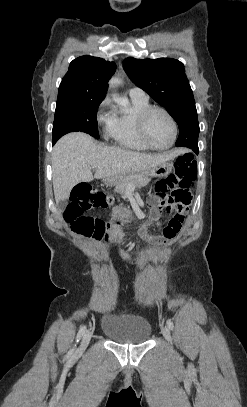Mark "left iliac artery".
<instances>
[{
  "label": "left iliac artery",
  "instance_id": "left-iliac-artery-1",
  "mask_svg": "<svg viewBox=\"0 0 247 407\" xmlns=\"http://www.w3.org/2000/svg\"><path fill=\"white\" fill-rule=\"evenodd\" d=\"M166 323H167V326H168L171 330L174 328V324H173V322H172L170 319H168Z\"/></svg>",
  "mask_w": 247,
  "mask_h": 407
}]
</instances>
